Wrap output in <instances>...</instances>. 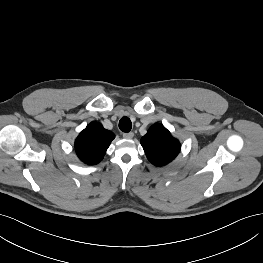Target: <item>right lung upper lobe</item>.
Returning a JSON list of instances; mask_svg holds the SVG:
<instances>
[{"label": "right lung upper lobe", "mask_w": 263, "mask_h": 263, "mask_svg": "<svg viewBox=\"0 0 263 263\" xmlns=\"http://www.w3.org/2000/svg\"><path fill=\"white\" fill-rule=\"evenodd\" d=\"M115 135L98 122H91L75 141L78 157L88 165L99 163Z\"/></svg>", "instance_id": "right-lung-upper-lobe-1"}]
</instances>
